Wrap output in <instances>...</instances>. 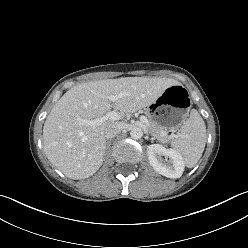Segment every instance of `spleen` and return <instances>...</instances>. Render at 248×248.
<instances>
[{"mask_svg": "<svg viewBox=\"0 0 248 248\" xmlns=\"http://www.w3.org/2000/svg\"><path fill=\"white\" fill-rule=\"evenodd\" d=\"M179 131L172 141L173 150L180 154L188 168H192L201 158L206 144V126L197 110H191Z\"/></svg>", "mask_w": 248, "mask_h": 248, "instance_id": "1", "label": "spleen"}]
</instances>
